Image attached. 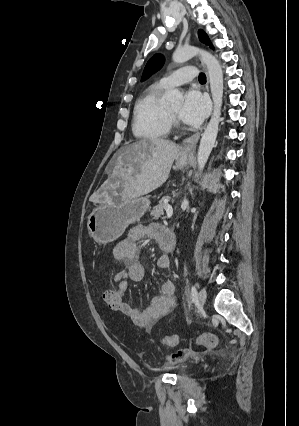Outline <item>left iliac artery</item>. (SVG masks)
<instances>
[{"instance_id": "44dca946", "label": "left iliac artery", "mask_w": 299, "mask_h": 426, "mask_svg": "<svg viewBox=\"0 0 299 426\" xmlns=\"http://www.w3.org/2000/svg\"><path fill=\"white\" fill-rule=\"evenodd\" d=\"M191 297H192L193 302L197 301L198 294H197V290L194 286L191 287Z\"/></svg>"}]
</instances>
